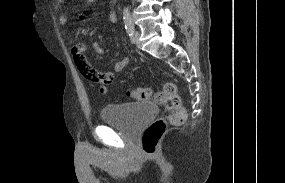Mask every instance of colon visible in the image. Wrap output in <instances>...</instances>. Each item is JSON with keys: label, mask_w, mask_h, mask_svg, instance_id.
Masks as SVG:
<instances>
[{"label": "colon", "mask_w": 285, "mask_h": 183, "mask_svg": "<svg viewBox=\"0 0 285 183\" xmlns=\"http://www.w3.org/2000/svg\"><path fill=\"white\" fill-rule=\"evenodd\" d=\"M77 67L81 74L91 77V72L87 64L79 63ZM127 95L133 100H148L154 98L164 103L170 111L166 117L156 119L143 133L141 137V148L147 154H153L162 135L165 133L168 124L180 125L187 118V112L181 105L177 87L174 83H166L163 91L159 94H153L152 89L148 87H135L128 90Z\"/></svg>", "instance_id": "colon-1"}]
</instances>
